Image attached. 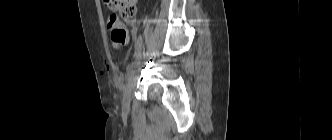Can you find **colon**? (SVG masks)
Instances as JSON below:
<instances>
[{"label":"colon","instance_id":"colon-1","mask_svg":"<svg viewBox=\"0 0 332 140\" xmlns=\"http://www.w3.org/2000/svg\"><path fill=\"white\" fill-rule=\"evenodd\" d=\"M138 0H104L108 8L122 18L130 19L136 14ZM107 27L111 31V40L116 47H123L128 40L125 26L118 16L111 14L107 19Z\"/></svg>","mask_w":332,"mask_h":140}]
</instances>
